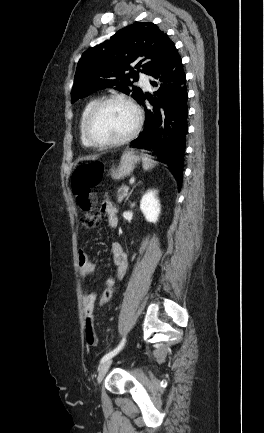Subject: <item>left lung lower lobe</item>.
<instances>
[{"mask_svg": "<svg viewBox=\"0 0 264 433\" xmlns=\"http://www.w3.org/2000/svg\"><path fill=\"white\" fill-rule=\"evenodd\" d=\"M151 76L154 78L151 83L158 90L153 95L143 94L138 102L143 104L147 99L151 107L144 105L145 127L132 145L155 151L159 160L169 166L181 188L188 130V92L182 60L176 49Z\"/></svg>", "mask_w": 264, "mask_h": 433, "instance_id": "left-lung-lower-lobe-1", "label": "left lung lower lobe"}]
</instances>
